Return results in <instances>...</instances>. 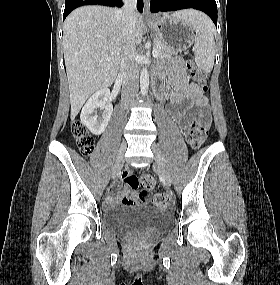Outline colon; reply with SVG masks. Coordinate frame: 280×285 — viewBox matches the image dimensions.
<instances>
[{"label": "colon", "mask_w": 280, "mask_h": 285, "mask_svg": "<svg viewBox=\"0 0 280 285\" xmlns=\"http://www.w3.org/2000/svg\"><path fill=\"white\" fill-rule=\"evenodd\" d=\"M185 65L194 82L199 84L205 91V73L199 69L192 60H187ZM208 127L209 124L207 120H191L189 122L186 128V137L189 145L192 148H199L205 142L208 134ZM72 134L80 151L85 155H89L93 151L94 140L86 127L81 122H75L72 125ZM122 180L133 188L141 186L144 189V192H148L155 187L153 178L148 174H143L140 178H138L133 173L124 171L122 174ZM153 202L156 205L164 206L169 203V197L164 193L157 194L153 198Z\"/></svg>", "instance_id": "5ec220e1"}]
</instances>
